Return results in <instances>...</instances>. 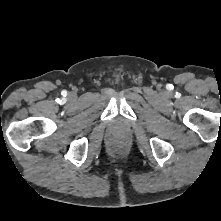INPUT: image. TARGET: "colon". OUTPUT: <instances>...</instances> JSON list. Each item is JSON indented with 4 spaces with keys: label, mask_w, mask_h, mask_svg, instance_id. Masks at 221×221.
<instances>
[{
    "label": "colon",
    "mask_w": 221,
    "mask_h": 221,
    "mask_svg": "<svg viewBox=\"0 0 221 221\" xmlns=\"http://www.w3.org/2000/svg\"><path fill=\"white\" fill-rule=\"evenodd\" d=\"M117 148L119 149V148H121V146L118 145Z\"/></svg>",
    "instance_id": "5ec220e1"
}]
</instances>
